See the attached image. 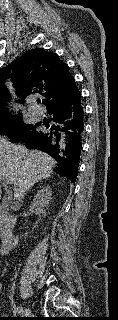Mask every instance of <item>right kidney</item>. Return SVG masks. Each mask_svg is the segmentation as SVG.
Here are the masks:
<instances>
[{"mask_svg": "<svg viewBox=\"0 0 118 320\" xmlns=\"http://www.w3.org/2000/svg\"><path fill=\"white\" fill-rule=\"evenodd\" d=\"M52 199V191L50 187H44L37 192L29 208V212L35 214H45V208L49 206Z\"/></svg>", "mask_w": 118, "mask_h": 320, "instance_id": "obj_1", "label": "right kidney"}]
</instances>
